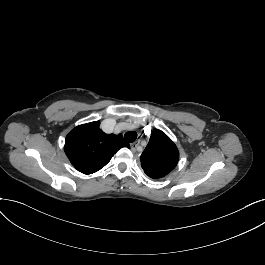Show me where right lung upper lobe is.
I'll return each instance as SVG.
<instances>
[{
  "mask_svg": "<svg viewBox=\"0 0 265 265\" xmlns=\"http://www.w3.org/2000/svg\"><path fill=\"white\" fill-rule=\"evenodd\" d=\"M94 121L74 128L67 136L65 153L72 165L84 174L103 168L122 147H130L121 134H106Z\"/></svg>",
  "mask_w": 265,
  "mask_h": 265,
  "instance_id": "obj_1",
  "label": "right lung upper lobe"
}]
</instances>
